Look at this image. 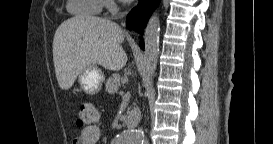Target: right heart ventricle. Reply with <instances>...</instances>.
<instances>
[{
    "instance_id": "1",
    "label": "right heart ventricle",
    "mask_w": 273,
    "mask_h": 144,
    "mask_svg": "<svg viewBox=\"0 0 273 144\" xmlns=\"http://www.w3.org/2000/svg\"><path fill=\"white\" fill-rule=\"evenodd\" d=\"M103 0H69L68 10L76 16H92L101 12Z\"/></svg>"
}]
</instances>
